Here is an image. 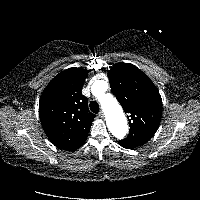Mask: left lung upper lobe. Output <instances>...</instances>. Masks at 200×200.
<instances>
[{
	"mask_svg": "<svg viewBox=\"0 0 200 200\" xmlns=\"http://www.w3.org/2000/svg\"><path fill=\"white\" fill-rule=\"evenodd\" d=\"M113 94L128 114L130 131L119 144L133 149L145 144L156 132L162 115V99L152 81L136 66L115 64L108 72Z\"/></svg>",
	"mask_w": 200,
	"mask_h": 200,
	"instance_id": "5c2ea615",
	"label": "left lung upper lobe"
}]
</instances>
